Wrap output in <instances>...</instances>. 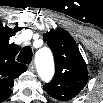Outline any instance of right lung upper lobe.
<instances>
[{
    "mask_svg": "<svg viewBox=\"0 0 103 103\" xmlns=\"http://www.w3.org/2000/svg\"><path fill=\"white\" fill-rule=\"evenodd\" d=\"M24 27H15L13 30L3 27L0 24V93L8 96L10 87L13 86V79L26 71L27 67L15 61V55L19 48L14 44H9V38L14 32Z\"/></svg>",
    "mask_w": 103,
    "mask_h": 103,
    "instance_id": "1",
    "label": "right lung upper lobe"
}]
</instances>
